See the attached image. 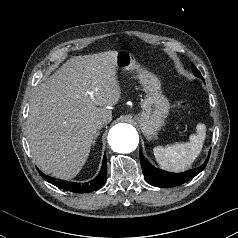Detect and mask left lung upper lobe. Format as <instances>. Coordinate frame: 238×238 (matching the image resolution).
Segmentation results:
<instances>
[{
  "instance_id": "obj_1",
  "label": "left lung upper lobe",
  "mask_w": 238,
  "mask_h": 238,
  "mask_svg": "<svg viewBox=\"0 0 238 238\" xmlns=\"http://www.w3.org/2000/svg\"><path fill=\"white\" fill-rule=\"evenodd\" d=\"M193 73L195 76H197L203 80L201 73L198 71V69L195 66H193Z\"/></svg>"
}]
</instances>
